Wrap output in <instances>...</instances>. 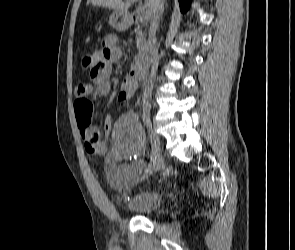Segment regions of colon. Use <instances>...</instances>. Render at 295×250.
<instances>
[{
    "mask_svg": "<svg viewBox=\"0 0 295 250\" xmlns=\"http://www.w3.org/2000/svg\"><path fill=\"white\" fill-rule=\"evenodd\" d=\"M93 65L92 54H84L81 58V66L84 69H92ZM74 108L78 126L82 129L89 128L93 117L92 102L87 98L77 99Z\"/></svg>",
    "mask_w": 295,
    "mask_h": 250,
    "instance_id": "colon-1",
    "label": "colon"
}]
</instances>
